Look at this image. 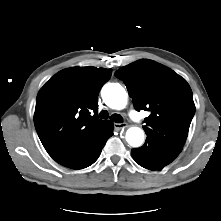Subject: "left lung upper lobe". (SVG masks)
I'll return each instance as SVG.
<instances>
[{"label": "left lung upper lobe", "mask_w": 221, "mask_h": 221, "mask_svg": "<svg viewBox=\"0 0 221 221\" xmlns=\"http://www.w3.org/2000/svg\"><path fill=\"white\" fill-rule=\"evenodd\" d=\"M124 81L137 111H150L143 129L147 140L179 152L195 114L188 83L170 68L142 59L115 72Z\"/></svg>", "instance_id": "1"}]
</instances>
